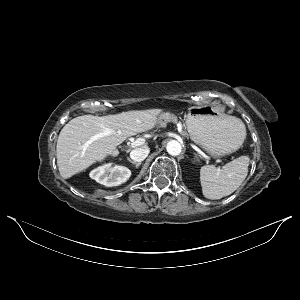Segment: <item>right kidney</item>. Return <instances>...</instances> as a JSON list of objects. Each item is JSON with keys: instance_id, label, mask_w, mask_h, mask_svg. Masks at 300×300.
<instances>
[{"instance_id": "right-kidney-1", "label": "right kidney", "mask_w": 300, "mask_h": 300, "mask_svg": "<svg viewBox=\"0 0 300 300\" xmlns=\"http://www.w3.org/2000/svg\"><path fill=\"white\" fill-rule=\"evenodd\" d=\"M131 176V171L124 166L104 164L90 172V177L96 182L107 187L118 186L126 182Z\"/></svg>"}]
</instances>
